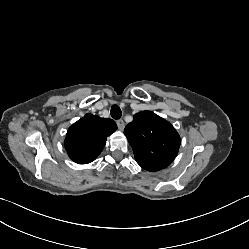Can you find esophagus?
<instances>
[{"instance_id": "34e87169", "label": "esophagus", "mask_w": 249, "mask_h": 249, "mask_svg": "<svg viewBox=\"0 0 249 249\" xmlns=\"http://www.w3.org/2000/svg\"><path fill=\"white\" fill-rule=\"evenodd\" d=\"M116 124H117V126H118V128L120 129V130H123L124 129V127H125V123H124V121L123 120H117L116 121Z\"/></svg>"}]
</instances>
